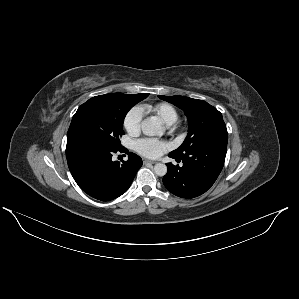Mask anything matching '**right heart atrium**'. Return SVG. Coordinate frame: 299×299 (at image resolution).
Masks as SVG:
<instances>
[{"instance_id":"obj_1","label":"right heart atrium","mask_w":299,"mask_h":299,"mask_svg":"<svg viewBox=\"0 0 299 299\" xmlns=\"http://www.w3.org/2000/svg\"><path fill=\"white\" fill-rule=\"evenodd\" d=\"M142 110L138 107L131 109L124 119V128L131 136H136L141 129Z\"/></svg>"}]
</instances>
